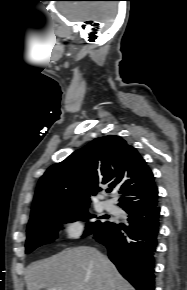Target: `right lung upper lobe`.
<instances>
[{
  "label": "right lung upper lobe",
  "mask_w": 187,
  "mask_h": 290,
  "mask_svg": "<svg viewBox=\"0 0 187 290\" xmlns=\"http://www.w3.org/2000/svg\"><path fill=\"white\" fill-rule=\"evenodd\" d=\"M101 184L119 189L123 209L158 198L153 173L138 151L121 137L108 135L47 169L37 185L29 224L55 211L89 206L90 195Z\"/></svg>",
  "instance_id": "1"
}]
</instances>
